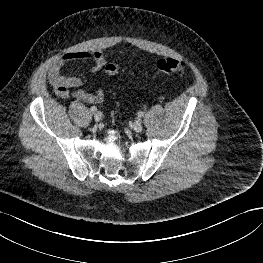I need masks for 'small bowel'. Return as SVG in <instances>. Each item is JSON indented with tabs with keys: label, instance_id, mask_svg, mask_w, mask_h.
Segmentation results:
<instances>
[{
	"label": "small bowel",
	"instance_id": "c3829d8e",
	"mask_svg": "<svg viewBox=\"0 0 263 263\" xmlns=\"http://www.w3.org/2000/svg\"><path fill=\"white\" fill-rule=\"evenodd\" d=\"M72 61H89L92 63V71H98L105 65V59L101 51H76L65 53L58 57L50 66L48 81L54 89L55 94L64 99L70 96L80 99L89 104H99L104 100V92L98 90L89 93L81 89L82 81L75 76L62 75L63 66Z\"/></svg>",
	"mask_w": 263,
	"mask_h": 263
}]
</instances>
